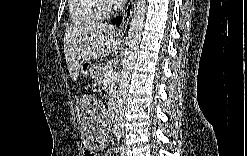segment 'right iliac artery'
<instances>
[{"mask_svg":"<svg viewBox=\"0 0 247 156\" xmlns=\"http://www.w3.org/2000/svg\"><path fill=\"white\" fill-rule=\"evenodd\" d=\"M118 131L116 132V135L118 137V141L120 140V132H119V127H117Z\"/></svg>","mask_w":247,"mask_h":156,"instance_id":"right-iliac-artery-1","label":"right iliac artery"}]
</instances>
